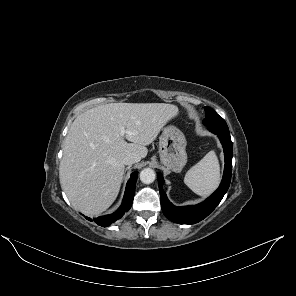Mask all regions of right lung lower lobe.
<instances>
[{
	"label": "right lung lower lobe",
	"mask_w": 296,
	"mask_h": 296,
	"mask_svg": "<svg viewBox=\"0 0 296 296\" xmlns=\"http://www.w3.org/2000/svg\"><path fill=\"white\" fill-rule=\"evenodd\" d=\"M137 177H138L137 172L131 174V177H130V179L127 183V186H126V190H125V194H124V198H123L121 206L113 214L100 216L97 219H95V222L98 225H100L102 227L109 226L111 223H113L117 219L121 218L124 215V213L131 208L134 194H135V186H136ZM85 218L92 221V219L89 217H85Z\"/></svg>",
	"instance_id": "98d812e1"
}]
</instances>
